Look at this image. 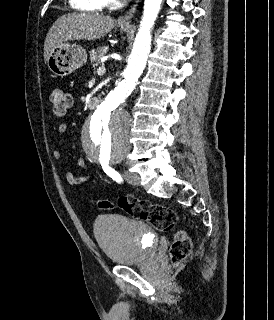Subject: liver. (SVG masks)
<instances>
[{
  "label": "liver",
  "instance_id": "1",
  "mask_svg": "<svg viewBox=\"0 0 274 320\" xmlns=\"http://www.w3.org/2000/svg\"><path fill=\"white\" fill-rule=\"evenodd\" d=\"M115 26L110 16L81 12V14H64L50 28L44 46L45 64L53 50L60 48L69 40H100L109 34Z\"/></svg>",
  "mask_w": 274,
  "mask_h": 320
}]
</instances>
